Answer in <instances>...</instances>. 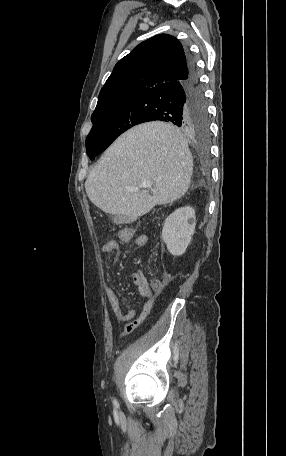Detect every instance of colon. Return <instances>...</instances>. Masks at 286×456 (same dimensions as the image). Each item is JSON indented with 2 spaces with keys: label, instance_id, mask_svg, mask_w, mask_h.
<instances>
[{
  "label": "colon",
  "instance_id": "obj_1",
  "mask_svg": "<svg viewBox=\"0 0 286 456\" xmlns=\"http://www.w3.org/2000/svg\"><path fill=\"white\" fill-rule=\"evenodd\" d=\"M126 234L131 235L133 234L134 230L131 228H126L125 230ZM162 286V282L158 279L153 280V287L155 289H159Z\"/></svg>",
  "mask_w": 286,
  "mask_h": 456
}]
</instances>
